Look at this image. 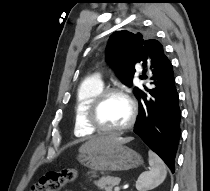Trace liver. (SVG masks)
Segmentation results:
<instances>
[{
    "mask_svg": "<svg viewBox=\"0 0 210 191\" xmlns=\"http://www.w3.org/2000/svg\"><path fill=\"white\" fill-rule=\"evenodd\" d=\"M132 139L133 138L131 137L123 138L116 134L97 136V137L91 138L85 144H83L80 147L79 151L82 152L86 150H95V149L103 148L110 145L124 144V143L130 142Z\"/></svg>",
    "mask_w": 210,
    "mask_h": 191,
    "instance_id": "liver-1",
    "label": "liver"
}]
</instances>
